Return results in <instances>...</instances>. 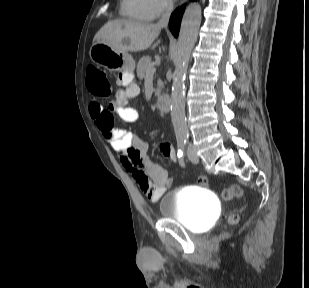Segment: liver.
I'll return each mask as SVG.
<instances>
[{
	"instance_id": "obj_1",
	"label": "liver",
	"mask_w": 309,
	"mask_h": 288,
	"mask_svg": "<svg viewBox=\"0 0 309 288\" xmlns=\"http://www.w3.org/2000/svg\"><path fill=\"white\" fill-rule=\"evenodd\" d=\"M157 24L116 19L108 21L95 35L93 43L102 42L113 49L127 53L148 49L158 37ZM160 43L154 44L153 49Z\"/></svg>"
}]
</instances>
